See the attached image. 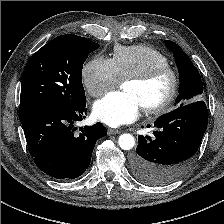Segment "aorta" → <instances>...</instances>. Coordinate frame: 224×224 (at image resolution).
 Masks as SVG:
<instances>
[{"mask_svg":"<svg viewBox=\"0 0 224 224\" xmlns=\"http://www.w3.org/2000/svg\"><path fill=\"white\" fill-rule=\"evenodd\" d=\"M118 143L121 149L130 150L135 145V139L131 134H122L119 136Z\"/></svg>","mask_w":224,"mask_h":224,"instance_id":"obj_1","label":"aorta"}]
</instances>
